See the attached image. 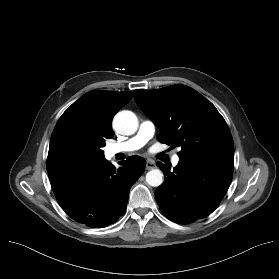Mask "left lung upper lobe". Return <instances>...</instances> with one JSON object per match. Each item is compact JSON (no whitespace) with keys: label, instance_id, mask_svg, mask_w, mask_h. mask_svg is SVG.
Returning <instances> with one entry per match:
<instances>
[{"label":"left lung upper lobe","instance_id":"left-lung-upper-lobe-1","mask_svg":"<svg viewBox=\"0 0 279 279\" xmlns=\"http://www.w3.org/2000/svg\"><path fill=\"white\" fill-rule=\"evenodd\" d=\"M143 112L161 130L158 140L180 146L178 156L234 159L228 125L215 106L196 90L173 85L157 90H135Z\"/></svg>","mask_w":279,"mask_h":279}]
</instances>
